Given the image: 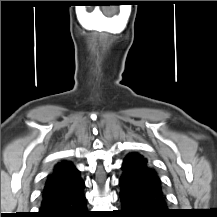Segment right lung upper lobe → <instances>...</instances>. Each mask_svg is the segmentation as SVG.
Instances as JSON below:
<instances>
[{
	"label": "right lung upper lobe",
	"instance_id": "obj_1",
	"mask_svg": "<svg viewBox=\"0 0 217 217\" xmlns=\"http://www.w3.org/2000/svg\"><path fill=\"white\" fill-rule=\"evenodd\" d=\"M84 186V182L80 178L76 167L68 161L60 162L54 167L52 174L48 177L42 203L71 195Z\"/></svg>",
	"mask_w": 217,
	"mask_h": 217
}]
</instances>
